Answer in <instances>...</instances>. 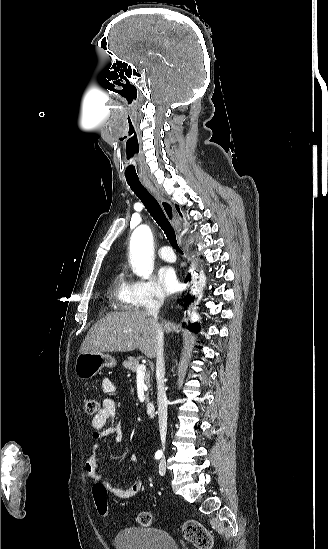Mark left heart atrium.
Returning a JSON list of instances; mask_svg holds the SVG:
<instances>
[{"instance_id": "obj_1", "label": "left heart atrium", "mask_w": 328, "mask_h": 549, "mask_svg": "<svg viewBox=\"0 0 328 549\" xmlns=\"http://www.w3.org/2000/svg\"><path fill=\"white\" fill-rule=\"evenodd\" d=\"M159 285L165 294L174 292L177 288V280L173 271L163 269L159 274Z\"/></svg>"}]
</instances>
